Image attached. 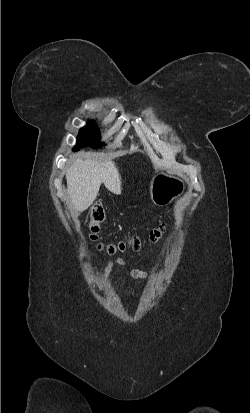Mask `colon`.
<instances>
[{
    "label": "colon",
    "instance_id": "5ec220e1",
    "mask_svg": "<svg viewBox=\"0 0 250 413\" xmlns=\"http://www.w3.org/2000/svg\"><path fill=\"white\" fill-rule=\"evenodd\" d=\"M105 220V210L104 206L100 202H96L91 209V220L89 224L90 230V237L93 240L98 238V233L100 231L101 224ZM163 226H158L153 228L150 231V238L152 241H156L160 238L163 232ZM127 246H131L134 249H138L140 247V241L134 237L129 239L128 241H119L116 244H108L105 248L108 253L113 254L117 251H123L126 249Z\"/></svg>",
    "mask_w": 250,
    "mask_h": 413
}]
</instances>
